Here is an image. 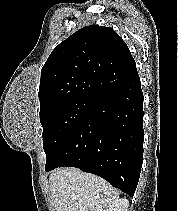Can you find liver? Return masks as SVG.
Segmentation results:
<instances>
[{
	"label": "liver",
	"mask_w": 178,
	"mask_h": 211,
	"mask_svg": "<svg viewBox=\"0 0 178 211\" xmlns=\"http://www.w3.org/2000/svg\"><path fill=\"white\" fill-rule=\"evenodd\" d=\"M56 211H104L119 192L106 180L77 168H59L49 174Z\"/></svg>",
	"instance_id": "1"
}]
</instances>
